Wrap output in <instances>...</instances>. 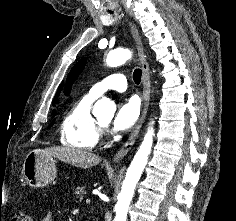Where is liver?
<instances>
[{"label":"liver","mask_w":236,"mask_h":221,"mask_svg":"<svg viewBox=\"0 0 236 221\" xmlns=\"http://www.w3.org/2000/svg\"><path fill=\"white\" fill-rule=\"evenodd\" d=\"M46 154L58 158L78 168H91L101 162V157L92 152L70 146H56L43 150Z\"/></svg>","instance_id":"1"}]
</instances>
